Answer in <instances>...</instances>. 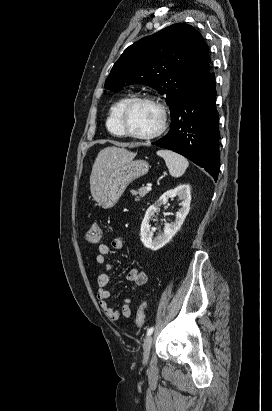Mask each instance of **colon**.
Wrapping results in <instances>:
<instances>
[{
  "label": "colon",
  "mask_w": 272,
  "mask_h": 411,
  "mask_svg": "<svg viewBox=\"0 0 272 411\" xmlns=\"http://www.w3.org/2000/svg\"><path fill=\"white\" fill-rule=\"evenodd\" d=\"M102 235V229L100 225L96 222L92 223L88 232H87V240L91 243H96L100 240ZM147 308V302H143L137 309L136 312V325L138 328H142L144 326L145 321V310Z\"/></svg>",
  "instance_id": "colon-1"
}]
</instances>
